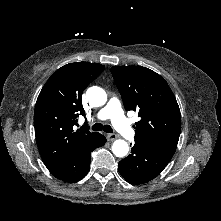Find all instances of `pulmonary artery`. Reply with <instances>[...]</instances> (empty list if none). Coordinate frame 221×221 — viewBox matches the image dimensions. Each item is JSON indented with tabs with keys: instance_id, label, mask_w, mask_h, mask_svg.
<instances>
[{
	"instance_id": "pulmonary-artery-1",
	"label": "pulmonary artery",
	"mask_w": 221,
	"mask_h": 221,
	"mask_svg": "<svg viewBox=\"0 0 221 221\" xmlns=\"http://www.w3.org/2000/svg\"><path fill=\"white\" fill-rule=\"evenodd\" d=\"M96 117L100 120L111 119L115 129L126 139H132L135 135L133 128L122 112L119 100L115 97L109 100L107 105L97 113Z\"/></svg>"
}]
</instances>
